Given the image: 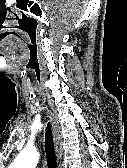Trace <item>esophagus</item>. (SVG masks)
Wrapping results in <instances>:
<instances>
[{"label":"esophagus","instance_id":"1","mask_svg":"<svg viewBox=\"0 0 127 168\" xmlns=\"http://www.w3.org/2000/svg\"><path fill=\"white\" fill-rule=\"evenodd\" d=\"M51 125H52V131L55 141V150L58 158H61L62 156V135H61V128L60 125L56 119V117L51 113L49 115Z\"/></svg>","mask_w":127,"mask_h":168}]
</instances>
